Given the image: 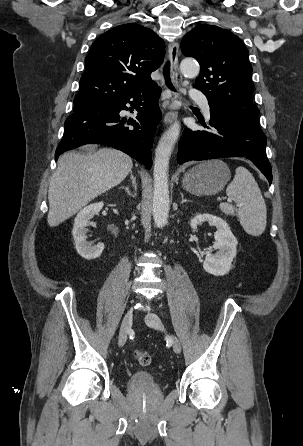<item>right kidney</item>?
Returning a JSON list of instances; mask_svg holds the SVG:
<instances>
[{"label": "right kidney", "mask_w": 303, "mask_h": 446, "mask_svg": "<svg viewBox=\"0 0 303 446\" xmlns=\"http://www.w3.org/2000/svg\"><path fill=\"white\" fill-rule=\"evenodd\" d=\"M102 207V202L90 204L80 210L74 220L72 235L75 241V248L77 253L86 260L98 258L104 250L103 243H98L93 246L91 242L86 241V227L89 224V220L92 219L94 215L98 214Z\"/></svg>", "instance_id": "1"}]
</instances>
